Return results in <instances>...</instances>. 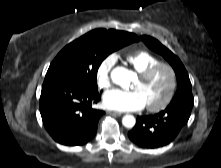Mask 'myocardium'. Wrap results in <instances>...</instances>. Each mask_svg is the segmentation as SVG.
I'll use <instances>...</instances> for the list:
<instances>
[{"instance_id":"1","label":"myocardium","mask_w":221,"mask_h":168,"mask_svg":"<svg viewBox=\"0 0 221 168\" xmlns=\"http://www.w3.org/2000/svg\"><path fill=\"white\" fill-rule=\"evenodd\" d=\"M161 69H165L168 71L169 76H170V86H169V90H168L165 98L161 102H159L158 104H155V105H147L146 106L147 109L151 112L161 111V110L165 109L171 103V101L174 98V95L176 93L177 85H178L177 72L171 64L165 63V62H160V63H157V64L147 68L146 70L139 73V75H138V78L144 82V81L149 80L156 72H158Z\"/></svg>"}]
</instances>
